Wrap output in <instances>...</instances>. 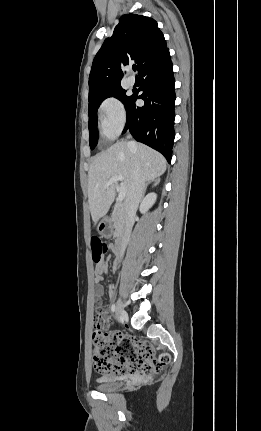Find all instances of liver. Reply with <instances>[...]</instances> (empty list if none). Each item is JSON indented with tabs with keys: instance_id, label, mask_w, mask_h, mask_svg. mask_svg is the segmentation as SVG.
Listing matches in <instances>:
<instances>
[{
	"instance_id": "6515ba94",
	"label": "liver",
	"mask_w": 261,
	"mask_h": 431,
	"mask_svg": "<svg viewBox=\"0 0 261 431\" xmlns=\"http://www.w3.org/2000/svg\"><path fill=\"white\" fill-rule=\"evenodd\" d=\"M136 167L144 182L151 181L165 172L166 160L144 144L124 141L94 157L88 172V202L94 223L107 214L115 199L116 186L105 188L104 185L111 177L120 175L128 193Z\"/></svg>"
}]
</instances>
